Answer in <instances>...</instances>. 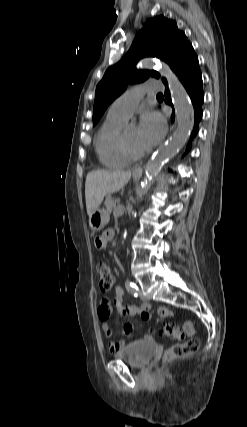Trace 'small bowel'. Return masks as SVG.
Returning <instances> with one entry per match:
<instances>
[{"label":"small bowel","mask_w":247,"mask_h":427,"mask_svg":"<svg viewBox=\"0 0 247 427\" xmlns=\"http://www.w3.org/2000/svg\"><path fill=\"white\" fill-rule=\"evenodd\" d=\"M114 236V231L108 229L104 231L99 237L96 238V246L98 248H104L108 241H110ZM115 297L113 300L114 307L117 312L122 316H135L140 315L141 318L145 321L152 318V312L148 304L136 305V304H125L123 301L124 291L120 286H116ZM98 318L101 322L102 331L105 337L108 339V347L110 351L117 352L121 350L126 343V340L132 337L133 325L131 323H126L123 326V334L125 339L121 341H116L112 339L113 333L109 326L108 320L112 313L111 302L108 298H103L101 300L100 306L98 308ZM160 320H163L169 316L173 315V312L165 307H160L157 311ZM146 339H152V335H146Z\"/></svg>","instance_id":"obj_1"}]
</instances>
